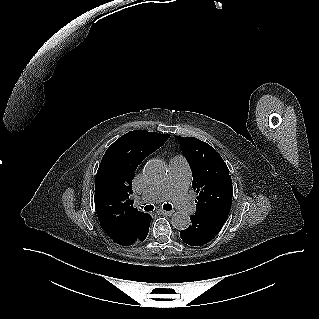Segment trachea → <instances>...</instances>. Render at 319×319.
<instances>
[{
	"instance_id": "obj_1",
	"label": "trachea",
	"mask_w": 319,
	"mask_h": 319,
	"mask_svg": "<svg viewBox=\"0 0 319 319\" xmlns=\"http://www.w3.org/2000/svg\"><path fill=\"white\" fill-rule=\"evenodd\" d=\"M146 212H150V211H153L154 209V206L153 205H146V206H143L142 207ZM163 209L166 210V211H170L172 210V206L170 204H164L163 205Z\"/></svg>"
}]
</instances>
